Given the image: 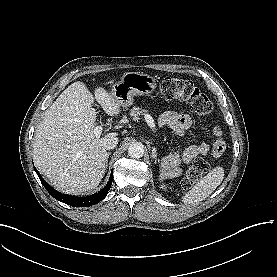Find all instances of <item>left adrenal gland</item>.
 <instances>
[{
    "label": "left adrenal gland",
    "instance_id": "left-adrenal-gland-1",
    "mask_svg": "<svg viewBox=\"0 0 277 277\" xmlns=\"http://www.w3.org/2000/svg\"><path fill=\"white\" fill-rule=\"evenodd\" d=\"M152 157H153V158H156V157H157L156 152H155L154 149H153V152H152Z\"/></svg>",
    "mask_w": 277,
    "mask_h": 277
}]
</instances>
